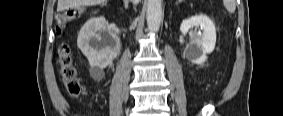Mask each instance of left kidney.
Returning <instances> with one entry per match:
<instances>
[{"mask_svg": "<svg viewBox=\"0 0 283 116\" xmlns=\"http://www.w3.org/2000/svg\"><path fill=\"white\" fill-rule=\"evenodd\" d=\"M200 26L203 29L202 35L193 37L185 49L186 58L193 64H202L207 60L216 43V29L214 23L206 15H196L182 21L180 31L186 34L191 28Z\"/></svg>", "mask_w": 283, "mask_h": 116, "instance_id": "1", "label": "left kidney"}]
</instances>
